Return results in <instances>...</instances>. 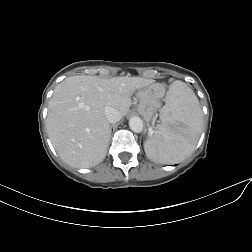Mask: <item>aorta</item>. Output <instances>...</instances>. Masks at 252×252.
<instances>
[{
  "instance_id": "obj_1",
  "label": "aorta",
  "mask_w": 252,
  "mask_h": 252,
  "mask_svg": "<svg viewBox=\"0 0 252 252\" xmlns=\"http://www.w3.org/2000/svg\"><path fill=\"white\" fill-rule=\"evenodd\" d=\"M129 127L133 132L140 133L143 130V122L137 116L132 117L129 120Z\"/></svg>"
}]
</instances>
